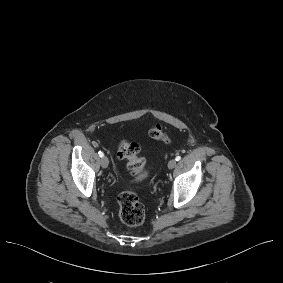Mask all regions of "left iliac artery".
Masks as SVG:
<instances>
[{
    "instance_id": "44dca946",
    "label": "left iliac artery",
    "mask_w": 283,
    "mask_h": 283,
    "mask_svg": "<svg viewBox=\"0 0 283 283\" xmlns=\"http://www.w3.org/2000/svg\"><path fill=\"white\" fill-rule=\"evenodd\" d=\"M175 160H176V161L181 160V156H176Z\"/></svg>"
}]
</instances>
